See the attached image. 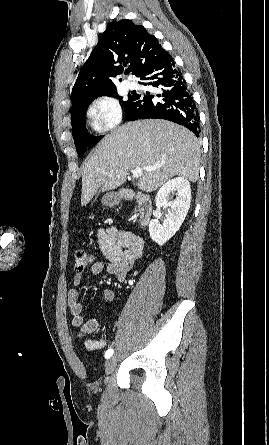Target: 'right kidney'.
Masks as SVG:
<instances>
[{
    "label": "right kidney",
    "instance_id": "right-kidney-1",
    "mask_svg": "<svg viewBox=\"0 0 269 445\" xmlns=\"http://www.w3.org/2000/svg\"><path fill=\"white\" fill-rule=\"evenodd\" d=\"M174 191L176 192V198L168 202L169 194ZM190 202V183L183 177L168 180L159 189L155 197V204L158 208L169 207V209L162 224L157 219H152L149 223V234L154 242L163 246L176 234L186 218Z\"/></svg>",
    "mask_w": 269,
    "mask_h": 445
}]
</instances>
